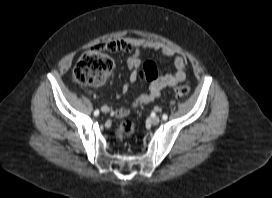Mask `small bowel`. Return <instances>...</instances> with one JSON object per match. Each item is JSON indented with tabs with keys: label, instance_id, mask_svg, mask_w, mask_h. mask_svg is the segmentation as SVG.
<instances>
[{
	"label": "small bowel",
	"instance_id": "1",
	"mask_svg": "<svg viewBox=\"0 0 272 198\" xmlns=\"http://www.w3.org/2000/svg\"><path fill=\"white\" fill-rule=\"evenodd\" d=\"M106 49L112 52H131L132 54L126 58V64L130 70L128 81L123 86L122 91L127 92L131 85L136 83L140 77L145 78L149 82V89L147 92L142 93L136 97L134 102L129 107H122L115 109L113 114L116 117L125 116L131 107L145 105L156 100L163 88L173 86L177 83L183 82L186 78V60L184 56L177 52L172 47L152 41L145 38H121L117 40H109L101 43L96 49ZM142 49H151L160 52L162 55L171 57L174 60L175 71L170 74L153 76L141 74V59L139 57Z\"/></svg>",
	"mask_w": 272,
	"mask_h": 198
}]
</instances>
